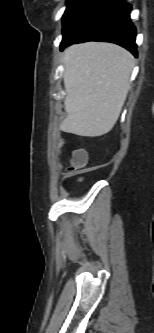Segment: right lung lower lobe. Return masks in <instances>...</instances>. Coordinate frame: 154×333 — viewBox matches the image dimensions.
Returning a JSON list of instances; mask_svg holds the SVG:
<instances>
[{"label":"right lung lower lobe","instance_id":"right-lung-lower-lobe-1","mask_svg":"<svg viewBox=\"0 0 154 333\" xmlns=\"http://www.w3.org/2000/svg\"><path fill=\"white\" fill-rule=\"evenodd\" d=\"M130 11L131 5L124 0H102L73 33L62 39L61 49L73 43L101 41L118 44L137 56Z\"/></svg>","mask_w":154,"mask_h":333}]
</instances>
